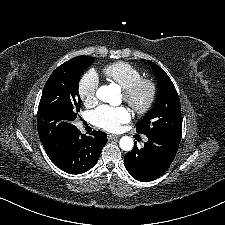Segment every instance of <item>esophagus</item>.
Returning <instances> with one entry per match:
<instances>
[{
    "label": "esophagus",
    "instance_id": "obj_1",
    "mask_svg": "<svg viewBox=\"0 0 225 225\" xmlns=\"http://www.w3.org/2000/svg\"><path fill=\"white\" fill-rule=\"evenodd\" d=\"M107 137H108L109 140H117V139H119L118 135H113V134H108Z\"/></svg>",
    "mask_w": 225,
    "mask_h": 225
}]
</instances>
